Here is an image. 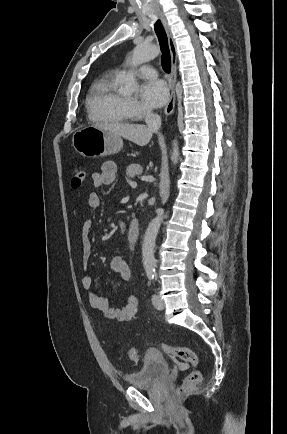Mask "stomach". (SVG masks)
<instances>
[{
    "mask_svg": "<svg viewBox=\"0 0 287 434\" xmlns=\"http://www.w3.org/2000/svg\"><path fill=\"white\" fill-rule=\"evenodd\" d=\"M74 149L84 157L97 158L118 153L123 140L108 130L96 126H86L74 132Z\"/></svg>",
    "mask_w": 287,
    "mask_h": 434,
    "instance_id": "1",
    "label": "stomach"
}]
</instances>
